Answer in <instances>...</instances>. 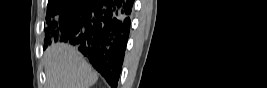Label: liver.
I'll use <instances>...</instances> for the list:
<instances>
[{"label":"liver","mask_w":267,"mask_h":88,"mask_svg":"<svg viewBox=\"0 0 267 88\" xmlns=\"http://www.w3.org/2000/svg\"><path fill=\"white\" fill-rule=\"evenodd\" d=\"M48 88H90L98 76L73 46L56 43L43 56Z\"/></svg>","instance_id":"liver-1"}]
</instances>
